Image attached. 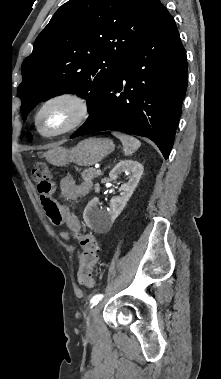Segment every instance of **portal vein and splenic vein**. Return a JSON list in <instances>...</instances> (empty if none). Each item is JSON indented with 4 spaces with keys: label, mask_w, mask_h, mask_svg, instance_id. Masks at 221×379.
<instances>
[{
    "label": "portal vein and splenic vein",
    "mask_w": 221,
    "mask_h": 379,
    "mask_svg": "<svg viewBox=\"0 0 221 379\" xmlns=\"http://www.w3.org/2000/svg\"><path fill=\"white\" fill-rule=\"evenodd\" d=\"M95 168L97 169L96 171L101 174V170L99 169V166H95Z\"/></svg>",
    "instance_id": "obj_1"
}]
</instances>
